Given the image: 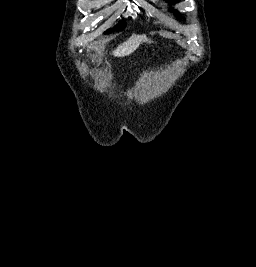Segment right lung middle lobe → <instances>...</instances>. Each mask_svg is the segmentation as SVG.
Instances as JSON below:
<instances>
[{
  "label": "right lung middle lobe",
  "mask_w": 256,
  "mask_h": 267,
  "mask_svg": "<svg viewBox=\"0 0 256 267\" xmlns=\"http://www.w3.org/2000/svg\"><path fill=\"white\" fill-rule=\"evenodd\" d=\"M126 26L125 21H121L115 28H113L112 30H107L105 33H109L113 30H123Z\"/></svg>",
  "instance_id": "right-lung-middle-lobe-1"
}]
</instances>
